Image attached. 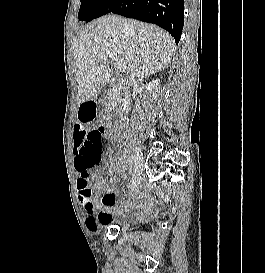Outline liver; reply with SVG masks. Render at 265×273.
I'll return each instance as SVG.
<instances>
[{"label": "liver", "instance_id": "obj_1", "mask_svg": "<svg viewBox=\"0 0 265 273\" xmlns=\"http://www.w3.org/2000/svg\"><path fill=\"white\" fill-rule=\"evenodd\" d=\"M78 103L95 96L111 79V53L127 63V73L149 77L171 62L173 38L159 27L115 15L102 16L81 29L72 43Z\"/></svg>", "mask_w": 265, "mask_h": 273}]
</instances>
